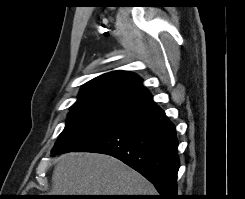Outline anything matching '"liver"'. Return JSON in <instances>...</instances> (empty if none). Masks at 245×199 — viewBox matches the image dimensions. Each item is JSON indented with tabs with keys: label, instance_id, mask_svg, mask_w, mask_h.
I'll return each mask as SVG.
<instances>
[{
	"label": "liver",
	"instance_id": "obj_1",
	"mask_svg": "<svg viewBox=\"0 0 245 199\" xmlns=\"http://www.w3.org/2000/svg\"><path fill=\"white\" fill-rule=\"evenodd\" d=\"M53 195H155L154 186L121 161L104 154L68 153L52 176Z\"/></svg>",
	"mask_w": 245,
	"mask_h": 199
}]
</instances>
